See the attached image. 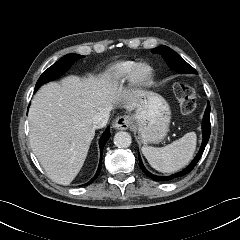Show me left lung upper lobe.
I'll return each instance as SVG.
<instances>
[{
    "label": "left lung upper lobe",
    "mask_w": 240,
    "mask_h": 240,
    "mask_svg": "<svg viewBox=\"0 0 240 240\" xmlns=\"http://www.w3.org/2000/svg\"><path fill=\"white\" fill-rule=\"evenodd\" d=\"M155 54H160L167 61V63L177 72L181 73H197L196 70L191 67L181 56H179L174 50L167 46H159L151 51Z\"/></svg>",
    "instance_id": "5c2ea615"
}]
</instances>
